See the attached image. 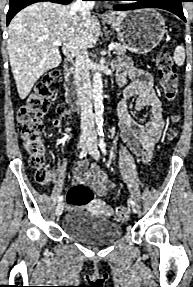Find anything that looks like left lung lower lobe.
I'll list each match as a JSON object with an SVG mask.
<instances>
[{
  "label": "left lung lower lobe",
  "mask_w": 193,
  "mask_h": 287,
  "mask_svg": "<svg viewBox=\"0 0 193 287\" xmlns=\"http://www.w3.org/2000/svg\"><path fill=\"white\" fill-rule=\"evenodd\" d=\"M117 1V0H115ZM137 1L128 6H115L114 10H134L140 8H160L170 11L179 16L183 21H186L183 10L182 2L186 0H133Z\"/></svg>",
  "instance_id": "obj_1"
}]
</instances>
